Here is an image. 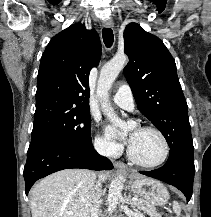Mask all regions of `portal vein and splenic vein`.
I'll return each instance as SVG.
<instances>
[{
  "label": "portal vein and splenic vein",
  "instance_id": "obj_1",
  "mask_svg": "<svg viewBox=\"0 0 211 217\" xmlns=\"http://www.w3.org/2000/svg\"><path fill=\"white\" fill-rule=\"evenodd\" d=\"M132 200H133L134 202H137V199H136V198H132Z\"/></svg>",
  "mask_w": 211,
  "mask_h": 217
}]
</instances>
